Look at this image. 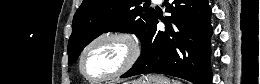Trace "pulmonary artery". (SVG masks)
I'll list each match as a JSON object with an SVG mask.
<instances>
[{
	"label": "pulmonary artery",
	"mask_w": 260,
	"mask_h": 84,
	"mask_svg": "<svg viewBox=\"0 0 260 84\" xmlns=\"http://www.w3.org/2000/svg\"><path fill=\"white\" fill-rule=\"evenodd\" d=\"M155 2H161V0H155Z\"/></svg>",
	"instance_id": "e3ab8cb5"
}]
</instances>
